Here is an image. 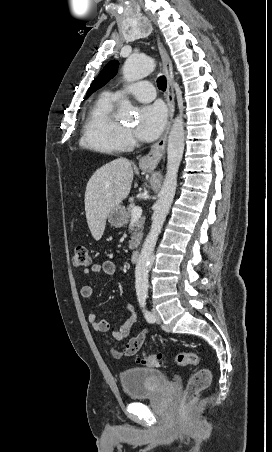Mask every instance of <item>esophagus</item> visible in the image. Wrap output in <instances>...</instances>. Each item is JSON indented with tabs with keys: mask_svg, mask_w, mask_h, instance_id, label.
Instances as JSON below:
<instances>
[{
	"mask_svg": "<svg viewBox=\"0 0 272 452\" xmlns=\"http://www.w3.org/2000/svg\"><path fill=\"white\" fill-rule=\"evenodd\" d=\"M158 49L160 56L162 58L163 71L167 78V105H168V120L164 133L160 137V139L154 143L150 149V152L142 157L139 161L140 167L143 168H155L161 158L165 153L166 142L168 133L171 127V123L174 116L175 111V101H174V87H173V66L172 61L162 45L160 38H157Z\"/></svg>",
	"mask_w": 272,
	"mask_h": 452,
	"instance_id": "obj_1",
	"label": "esophagus"
}]
</instances>
